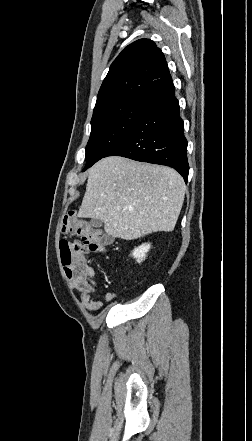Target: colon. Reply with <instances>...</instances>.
Returning a JSON list of instances; mask_svg holds the SVG:
<instances>
[{"instance_id":"1","label":"colon","mask_w":252,"mask_h":441,"mask_svg":"<svg viewBox=\"0 0 252 441\" xmlns=\"http://www.w3.org/2000/svg\"><path fill=\"white\" fill-rule=\"evenodd\" d=\"M63 231L81 238V241L63 239L59 249L67 277L72 282L82 281L86 272L85 254L105 252L110 244V237L90 222L77 218L74 212L65 217Z\"/></svg>"}]
</instances>
